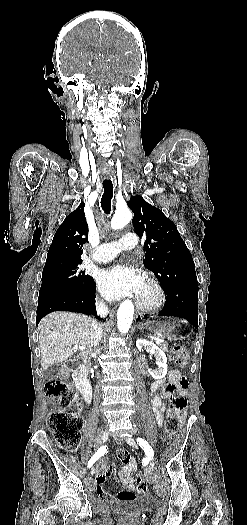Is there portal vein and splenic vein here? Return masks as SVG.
<instances>
[{
  "instance_id": "1",
  "label": "portal vein and splenic vein",
  "mask_w": 247,
  "mask_h": 525,
  "mask_svg": "<svg viewBox=\"0 0 247 525\" xmlns=\"http://www.w3.org/2000/svg\"><path fill=\"white\" fill-rule=\"evenodd\" d=\"M156 346H160V340H155ZM76 349H79V351H85V347H82V345H78Z\"/></svg>"
}]
</instances>
